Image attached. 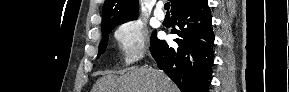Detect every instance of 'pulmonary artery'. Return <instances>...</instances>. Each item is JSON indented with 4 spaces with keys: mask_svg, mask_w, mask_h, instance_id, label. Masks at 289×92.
I'll list each match as a JSON object with an SVG mask.
<instances>
[{
    "mask_svg": "<svg viewBox=\"0 0 289 92\" xmlns=\"http://www.w3.org/2000/svg\"><path fill=\"white\" fill-rule=\"evenodd\" d=\"M154 15H155V17H156L158 20H161V21L164 20L165 14L163 13V11H162V9H161V4H159V5L157 6V8L155 9Z\"/></svg>",
    "mask_w": 289,
    "mask_h": 92,
    "instance_id": "1",
    "label": "pulmonary artery"
}]
</instances>
